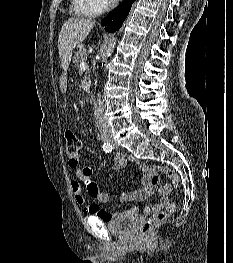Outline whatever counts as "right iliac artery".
I'll use <instances>...</instances> for the list:
<instances>
[{
  "mask_svg": "<svg viewBox=\"0 0 233 263\" xmlns=\"http://www.w3.org/2000/svg\"><path fill=\"white\" fill-rule=\"evenodd\" d=\"M102 148L107 153L112 152V150H113V146L108 142L103 143Z\"/></svg>",
  "mask_w": 233,
  "mask_h": 263,
  "instance_id": "right-iliac-artery-1",
  "label": "right iliac artery"
}]
</instances>
